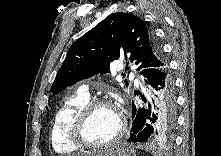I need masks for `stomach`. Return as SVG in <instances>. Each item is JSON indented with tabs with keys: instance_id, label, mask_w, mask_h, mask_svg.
<instances>
[{
	"instance_id": "stomach-1",
	"label": "stomach",
	"mask_w": 221,
	"mask_h": 156,
	"mask_svg": "<svg viewBox=\"0 0 221 156\" xmlns=\"http://www.w3.org/2000/svg\"><path fill=\"white\" fill-rule=\"evenodd\" d=\"M135 151L128 146H116L104 152L102 156H134ZM95 156V155H90Z\"/></svg>"
}]
</instances>
